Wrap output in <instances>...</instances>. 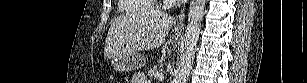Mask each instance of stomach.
<instances>
[{
	"instance_id": "obj_1",
	"label": "stomach",
	"mask_w": 307,
	"mask_h": 83,
	"mask_svg": "<svg viewBox=\"0 0 307 83\" xmlns=\"http://www.w3.org/2000/svg\"><path fill=\"white\" fill-rule=\"evenodd\" d=\"M145 59L138 54L117 55L112 58L111 64L117 71L126 72L143 66Z\"/></svg>"
}]
</instances>
